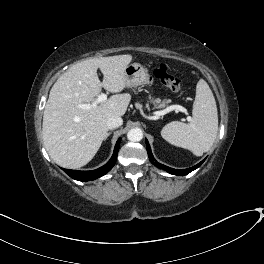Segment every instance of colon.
Instances as JSON below:
<instances>
[{"mask_svg": "<svg viewBox=\"0 0 264 264\" xmlns=\"http://www.w3.org/2000/svg\"><path fill=\"white\" fill-rule=\"evenodd\" d=\"M156 77L161 83L174 92H178L182 88V84L178 78L172 75L165 64H160L155 71Z\"/></svg>", "mask_w": 264, "mask_h": 264, "instance_id": "1", "label": "colon"}]
</instances>
